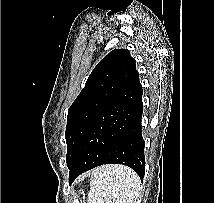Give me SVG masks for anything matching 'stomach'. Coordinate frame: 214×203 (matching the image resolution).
<instances>
[{
    "instance_id": "stomach-1",
    "label": "stomach",
    "mask_w": 214,
    "mask_h": 203,
    "mask_svg": "<svg viewBox=\"0 0 214 203\" xmlns=\"http://www.w3.org/2000/svg\"><path fill=\"white\" fill-rule=\"evenodd\" d=\"M78 197H81L82 199H84V191L83 190H79Z\"/></svg>"
}]
</instances>
